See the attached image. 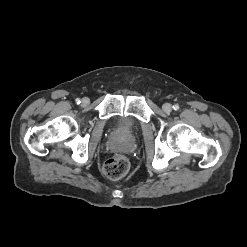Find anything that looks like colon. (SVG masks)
Listing matches in <instances>:
<instances>
[{"mask_svg":"<svg viewBox=\"0 0 247 247\" xmlns=\"http://www.w3.org/2000/svg\"><path fill=\"white\" fill-rule=\"evenodd\" d=\"M129 169L128 160L122 155H114L102 166L103 174L111 180H118L126 175Z\"/></svg>","mask_w":247,"mask_h":247,"instance_id":"colon-1","label":"colon"}]
</instances>
